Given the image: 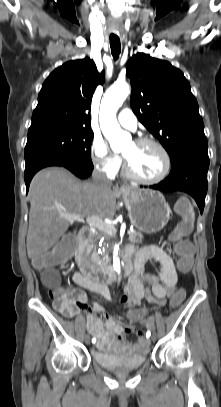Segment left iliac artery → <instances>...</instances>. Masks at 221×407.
I'll use <instances>...</instances> for the list:
<instances>
[{"instance_id":"obj_1","label":"left iliac artery","mask_w":221,"mask_h":407,"mask_svg":"<svg viewBox=\"0 0 221 407\" xmlns=\"http://www.w3.org/2000/svg\"><path fill=\"white\" fill-rule=\"evenodd\" d=\"M149 336H150V332L147 333V337H149Z\"/></svg>"}]
</instances>
